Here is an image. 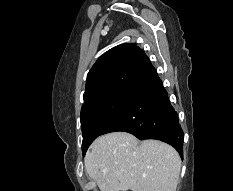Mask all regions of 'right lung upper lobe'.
Masks as SVG:
<instances>
[{
  "label": "right lung upper lobe",
  "instance_id": "cb5924a9",
  "mask_svg": "<svg viewBox=\"0 0 233 191\" xmlns=\"http://www.w3.org/2000/svg\"><path fill=\"white\" fill-rule=\"evenodd\" d=\"M149 63L143 50L133 43L110 49L98 58L87 75L82 107L129 90Z\"/></svg>",
  "mask_w": 233,
  "mask_h": 191
}]
</instances>
